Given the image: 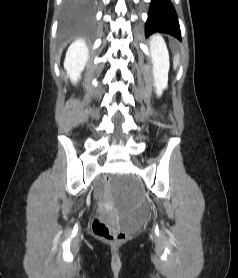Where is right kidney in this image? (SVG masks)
<instances>
[{
    "label": "right kidney",
    "instance_id": "obj_1",
    "mask_svg": "<svg viewBox=\"0 0 238 278\" xmlns=\"http://www.w3.org/2000/svg\"><path fill=\"white\" fill-rule=\"evenodd\" d=\"M89 50L83 39L73 42L67 50L64 67L73 82H77L86 62L88 61Z\"/></svg>",
    "mask_w": 238,
    "mask_h": 278
}]
</instances>
